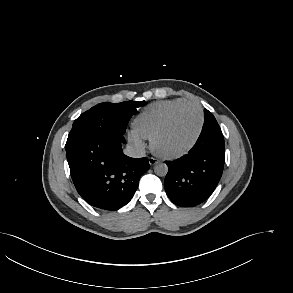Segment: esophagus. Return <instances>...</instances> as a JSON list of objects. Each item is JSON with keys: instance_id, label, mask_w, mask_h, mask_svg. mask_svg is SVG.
Segmentation results:
<instances>
[{"instance_id": "obj_1", "label": "esophagus", "mask_w": 293, "mask_h": 293, "mask_svg": "<svg viewBox=\"0 0 293 293\" xmlns=\"http://www.w3.org/2000/svg\"><path fill=\"white\" fill-rule=\"evenodd\" d=\"M159 161L156 159V158H154V157H150L149 158V164L151 165V166H154L155 164H157Z\"/></svg>"}]
</instances>
